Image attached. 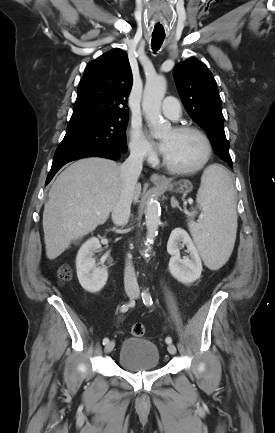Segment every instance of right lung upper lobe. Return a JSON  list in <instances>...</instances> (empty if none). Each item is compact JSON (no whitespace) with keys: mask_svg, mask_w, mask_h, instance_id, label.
<instances>
[{"mask_svg":"<svg viewBox=\"0 0 275 433\" xmlns=\"http://www.w3.org/2000/svg\"><path fill=\"white\" fill-rule=\"evenodd\" d=\"M132 72L126 53L113 49L91 61L82 77L71 119L81 117H128L127 97Z\"/></svg>","mask_w":275,"mask_h":433,"instance_id":"obj_1","label":"right lung upper lobe"}]
</instances>
